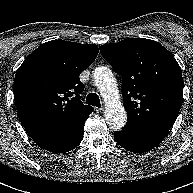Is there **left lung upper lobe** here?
<instances>
[{"label":"left lung upper lobe","instance_id":"5c2ea615","mask_svg":"<svg viewBox=\"0 0 193 193\" xmlns=\"http://www.w3.org/2000/svg\"><path fill=\"white\" fill-rule=\"evenodd\" d=\"M100 52L123 78L126 127H171L182 105L184 87L174 56L158 42L144 38L102 45Z\"/></svg>","mask_w":193,"mask_h":193}]
</instances>
